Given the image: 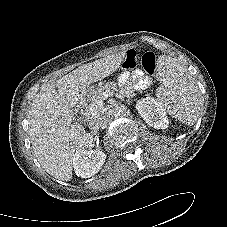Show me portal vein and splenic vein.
<instances>
[{
  "label": "portal vein and splenic vein",
  "instance_id": "portal-vein-and-splenic-vein-1",
  "mask_svg": "<svg viewBox=\"0 0 227 227\" xmlns=\"http://www.w3.org/2000/svg\"><path fill=\"white\" fill-rule=\"evenodd\" d=\"M110 95H111L110 91L104 92L101 97L96 99V101L93 104H91V106L89 107L88 112L89 113H94L98 108L102 107L103 99L107 98Z\"/></svg>",
  "mask_w": 227,
  "mask_h": 227
}]
</instances>
